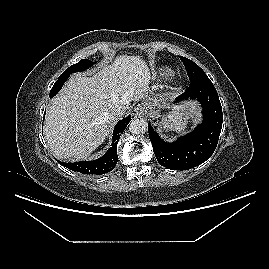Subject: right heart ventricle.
Instances as JSON below:
<instances>
[{
	"mask_svg": "<svg viewBox=\"0 0 269 269\" xmlns=\"http://www.w3.org/2000/svg\"><path fill=\"white\" fill-rule=\"evenodd\" d=\"M172 74L173 70L168 66H159L153 71L152 77L156 81H163L170 78Z\"/></svg>",
	"mask_w": 269,
	"mask_h": 269,
	"instance_id": "obj_1",
	"label": "right heart ventricle"
}]
</instances>
